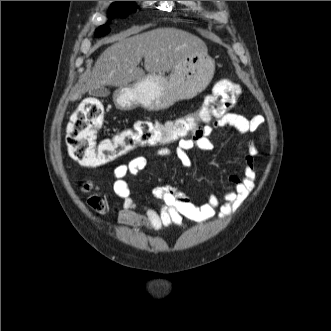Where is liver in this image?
Segmentation results:
<instances>
[{"instance_id":"1","label":"liver","mask_w":331,"mask_h":331,"mask_svg":"<svg viewBox=\"0 0 331 331\" xmlns=\"http://www.w3.org/2000/svg\"><path fill=\"white\" fill-rule=\"evenodd\" d=\"M199 51H207L199 37L175 28H158L131 37L123 34L99 56L85 84L71 100L96 88L124 87L142 79L145 71L138 67L142 58L149 74L164 75Z\"/></svg>"}]
</instances>
